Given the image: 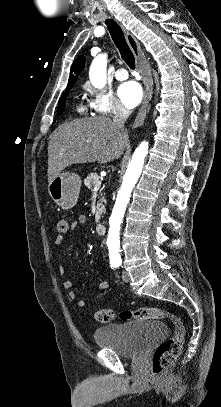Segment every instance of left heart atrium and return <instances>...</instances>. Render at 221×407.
I'll return each mask as SVG.
<instances>
[{"instance_id": "obj_1", "label": "left heart atrium", "mask_w": 221, "mask_h": 407, "mask_svg": "<svg viewBox=\"0 0 221 407\" xmlns=\"http://www.w3.org/2000/svg\"><path fill=\"white\" fill-rule=\"evenodd\" d=\"M118 96L126 106L132 108L140 103L143 91L137 82L127 81L119 86Z\"/></svg>"}]
</instances>
